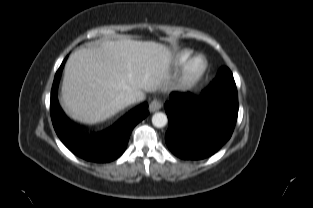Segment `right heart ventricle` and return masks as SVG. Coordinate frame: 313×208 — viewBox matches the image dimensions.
Returning a JSON list of instances; mask_svg holds the SVG:
<instances>
[{
  "label": "right heart ventricle",
  "instance_id": "obj_1",
  "mask_svg": "<svg viewBox=\"0 0 313 208\" xmlns=\"http://www.w3.org/2000/svg\"><path fill=\"white\" fill-rule=\"evenodd\" d=\"M191 55L190 50H181L175 54V62L177 65L185 63Z\"/></svg>",
  "mask_w": 313,
  "mask_h": 208
}]
</instances>
